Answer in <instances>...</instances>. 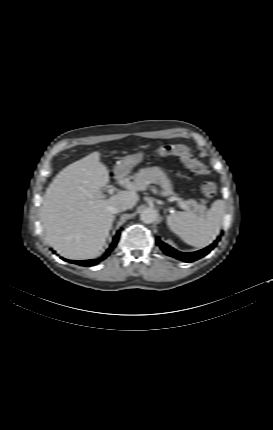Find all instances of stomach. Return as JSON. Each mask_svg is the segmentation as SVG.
Listing matches in <instances>:
<instances>
[{"instance_id":"0dacf381","label":"stomach","mask_w":273,"mask_h":430,"mask_svg":"<svg viewBox=\"0 0 273 430\" xmlns=\"http://www.w3.org/2000/svg\"><path fill=\"white\" fill-rule=\"evenodd\" d=\"M143 158V153H137L134 155H128L125 156L119 163H117L116 171L119 173H128L129 170L136 165L137 163L141 162Z\"/></svg>"}]
</instances>
